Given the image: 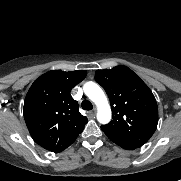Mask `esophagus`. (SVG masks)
<instances>
[{"label": "esophagus", "instance_id": "esophagus-1", "mask_svg": "<svg viewBox=\"0 0 181 181\" xmlns=\"http://www.w3.org/2000/svg\"><path fill=\"white\" fill-rule=\"evenodd\" d=\"M89 115H90L91 117H95V115H96V109L91 110V111L89 112Z\"/></svg>", "mask_w": 181, "mask_h": 181}]
</instances>
